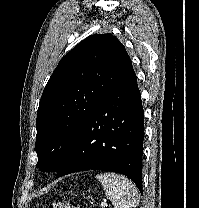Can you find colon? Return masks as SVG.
Returning a JSON list of instances; mask_svg holds the SVG:
<instances>
[{
	"mask_svg": "<svg viewBox=\"0 0 199 208\" xmlns=\"http://www.w3.org/2000/svg\"><path fill=\"white\" fill-rule=\"evenodd\" d=\"M46 208H80L78 204L71 200H57L48 203Z\"/></svg>",
	"mask_w": 199,
	"mask_h": 208,
	"instance_id": "5ec220e1",
	"label": "colon"
}]
</instances>
